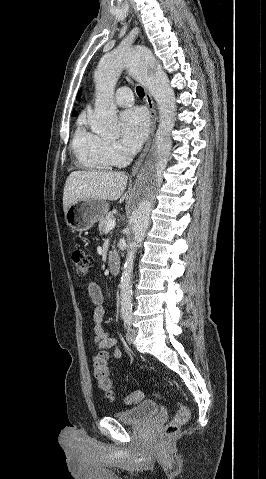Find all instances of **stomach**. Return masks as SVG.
<instances>
[{
    "mask_svg": "<svg viewBox=\"0 0 266 479\" xmlns=\"http://www.w3.org/2000/svg\"><path fill=\"white\" fill-rule=\"evenodd\" d=\"M109 210L106 201L97 199H81L73 203L65 212V221L74 231L89 230Z\"/></svg>",
    "mask_w": 266,
    "mask_h": 479,
    "instance_id": "stomach-1",
    "label": "stomach"
}]
</instances>
